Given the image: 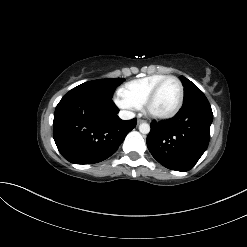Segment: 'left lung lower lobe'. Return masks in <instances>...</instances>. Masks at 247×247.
<instances>
[{
    "label": "left lung lower lobe",
    "instance_id": "0a47b994",
    "mask_svg": "<svg viewBox=\"0 0 247 247\" xmlns=\"http://www.w3.org/2000/svg\"><path fill=\"white\" fill-rule=\"evenodd\" d=\"M212 119L207 98L193 99L183 104L172 119L151 124L147 147L166 168L188 171L208 147Z\"/></svg>",
    "mask_w": 247,
    "mask_h": 247
}]
</instances>
